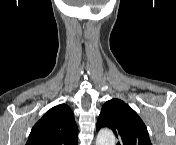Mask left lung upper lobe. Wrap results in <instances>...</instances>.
Instances as JSON below:
<instances>
[{
  "label": "left lung upper lobe",
  "instance_id": "left-lung-upper-lobe-1",
  "mask_svg": "<svg viewBox=\"0 0 176 145\" xmlns=\"http://www.w3.org/2000/svg\"><path fill=\"white\" fill-rule=\"evenodd\" d=\"M109 127L119 139L118 145H151L147 128L137 113L119 99L107 101L96 129Z\"/></svg>",
  "mask_w": 176,
  "mask_h": 145
}]
</instances>
